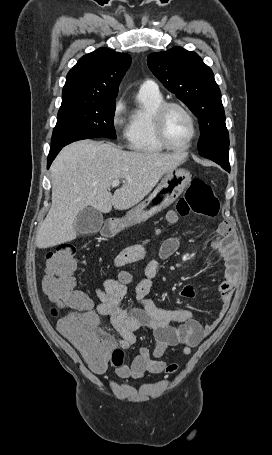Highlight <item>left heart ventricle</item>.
I'll use <instances>...</instances> for the list:
<instances>
[{"label":"left heart ventricle","mask_w":272,"mask_h":455,"mask_svg":"<svg viewBox=\"0 0 272 455\" xmlns=\"http://www.w3.org/2000/svg\"><path fill=\"white\" fill-rule=\"evenodd\" d=\"M165 131L173 145L183 146L191 137V123L184 112L178 108H171L166 114Z\"/></svg>","instance_id":"left-heart-ventricle-1"}]
</instances>
